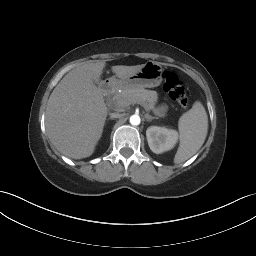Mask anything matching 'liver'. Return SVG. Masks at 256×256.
Instances as JSON below:
<instances>
[{
    "label": "liver",
    "mask_w": 256,
    "mask_h": 256,
    "mask_svg": "<svg viewBox=\"0 0 256 256\" xmlns=\"http://www.w3.org/2000/svg\"><path fill=\"white\" fill-rule=\"evenodd\" d=\"M105 64L87 62L71 70L49 97L46 131L53 146L69 158L91 156L102 136L108 109L95 82L100 81ZM143 66L117 65L112 72L125 78Z\"/></svg>",
    "instance_id": "obj_1"
}]
</instances>
